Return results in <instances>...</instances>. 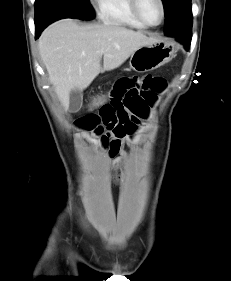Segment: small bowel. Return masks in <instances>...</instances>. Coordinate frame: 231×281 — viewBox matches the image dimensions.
I'll list each match as a JSON object with an SVG mask.
<instances>
[{"label": "small bowel", "mask_w": 231, "mask_h": 281, "mask_svg": "<svg viewBox=\"0 0 231 281\" xmlns=\"http://www.w3.org/2000/svg\"><path fill=\"white\" fill-rule=\"evenodd\" d=\"M166 85V80L155 74L121 76L112 84L108 102L97 113L77 119L75 124L99 136L109 157L114 158L120 153L122 140L148 117Z\"/></svg>", "instance_id": "small-bowel-1"}]
</instances>
